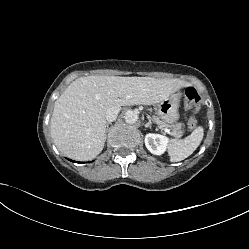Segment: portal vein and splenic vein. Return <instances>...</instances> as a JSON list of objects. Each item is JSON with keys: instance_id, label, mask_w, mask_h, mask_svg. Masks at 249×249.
Wrapping results in <instances>:
<instances>
[{"instance_id": "portal-vein-and-splenic-vein-1", "label": "portal vein and splenic vein", "mask_w": 249, "mask_h": 249, "mask_svg": "<svg viewBox=\"0 0 249 249\" xmlns=\"http://www.w3.org/2000/svg\"><path fill=\"white\" fill-rule=\"evenodd\" d=\"M164 131L166 132V133H168V134H171V131L169 130V129H164Z\"/></svg>"}]
</instances>
